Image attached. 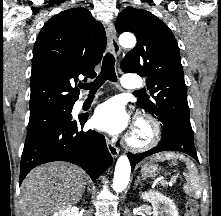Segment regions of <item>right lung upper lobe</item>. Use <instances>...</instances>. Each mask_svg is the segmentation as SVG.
<instances>
[{"mask_svg":"<svg viewBox=\"0 0 221 216\" xmlns=\"http://www.w3.org/2000/svg\"><path fill=\"white\" fill-rule=\"evenodd\" d=\"M106 33L83 7L60 12L41 29L33 51L30 115L73 105L79 90L78 76L94 78L101 61Z\"/></svg>","mask_w":221,"mask_h":216,"instance_id":"right-lung-upper-lobe-1","label":"right lung upper lobe"}]
</instances>
